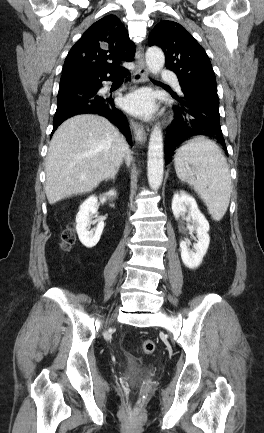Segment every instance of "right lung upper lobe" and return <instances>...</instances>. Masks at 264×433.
Wrapping results in <instances>:
<instances>
[{
  "label": "right lung upper lobe",
  "mask_w": 264,
  "mask_h": 433,
  "mask_svg": "<svg viewBox=\"0 0 264 433\" xmlns=\"http://www.w3.org/2000/svg\"><path fill=\"white\" fill-rule=\"evenodd\" d=\"M134 47L116 16L103 17L71 48L64 62L60 85L119 74L126 70L119 62L130 61L135 55Z\"/></svg>",
  "instance_id": "right-lung-upper-lobe-1"
}]
</instances>
